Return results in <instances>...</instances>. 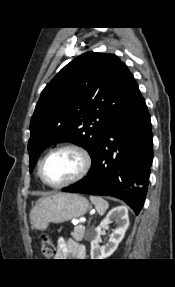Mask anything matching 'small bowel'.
Listing matches in <instances>:
<instances>
[{
    "mask_svg": "<svg viewBox=\"0 0 175 287\" xmlns=\"http://www.w3.org/2000/svg\"><path fill=\"white\" fill-rule=\"evenodd\" d=\"M69 257L76 260L85 259L86 248L84 245H81L74 240H66L63 237H60L57 242L56 258L66 259Z\"/></svg>",
    "mask_w": 175,
    "mask_h": 287,
    "instance_id": "1",
    "label": "small bowel"
}]
</instances>
